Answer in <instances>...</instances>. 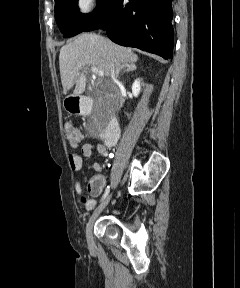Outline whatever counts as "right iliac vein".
<instances>
[{
    "instance_id": "1",
    "label": "right iliac vein",
    "mask_w": 240,
    "mask_h": 288,
    "mask_svg": "<svg viewBox=\"0 0 240 288\" xmlns=\"http://www.w3.org/2000/svg\"><path fill=\"white\" fill-rule=\"evenodd\" d=\"M111 199V194L108 195L103 202L98 206V208L94 211L92 216L89 219V222L86 226V238L89 246H93V225L97 218L99 217L100 213L105 209V207L108 205L109 201Z\"/></svg>"
}]
</instances>
